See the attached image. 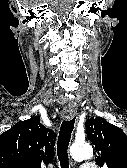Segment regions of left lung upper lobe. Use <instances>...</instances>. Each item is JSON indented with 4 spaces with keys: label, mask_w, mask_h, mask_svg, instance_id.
<instances>
[{
    "label": "left lung upper lobe",
    "mask_w": 127,
    "mask_h": 168,
    "mask_svg": "<svg viewBox=\"0 0 127 168\" xmlns=\"http://www.w3.org/2000/svg\"><path fill=\"white\" fill-rule=\"evenodd\" d=\"M85 126L87 138L96 149V164L107 168H127V137L123 130L102 117H91Z\"/></svg>",
    "instance_id": "5c2ea615"
}]
</instances>
